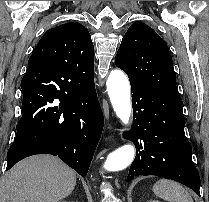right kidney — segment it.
<instances>
[{
  "label": "right kidney",
  "instance_id": "obj_1",
  "mask_svg": "<svg viewBox=\"0 0 209 202\" xmlns=\"http://www.w3.org/2000/svg\"><path fill=\"white\" fill-rule=\"evenodd\" d=\"M61 202H67L66 200H63V201H61Z\"/></svg>",
  "mask_w": 209,
  "mask_h": 202
}]
</instances>
